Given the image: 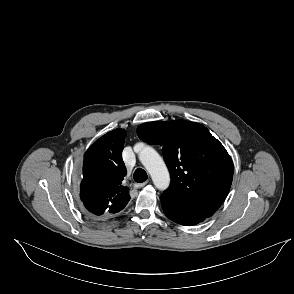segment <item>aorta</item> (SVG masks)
Returning a JSON list of instances; mask_svg holds the SVG:
<instances>
[{
	"label": "aorta",
	"mask_w": 294,
	"mask_h": 294,
	"mask_svg": "<svg viewBox=\"0 0 294 294\" xmlns=\"http://www.w3.org/2000/svg\"><path fill=\"white\" fill-rule=\"evenodd\" d=\"M140 149L139 160L151 175L157 189L165 190L170 184V176L165 162L158 152L142 143L136 144L135 149Z\"/></svg>",
	"instance_id": "aorta-1"
}]
</instances>
